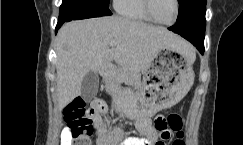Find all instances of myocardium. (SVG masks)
<instances>
[{
	"mask_svg": "<svg viewBox=\"0 0 243 145\" xmlns=\"http://www.w3.org/2000/svg\"><path fill=\"white\" fill-rule=\"evenodd\" d=\"M144 2V9H145V12L147 14V16L149 17V19L156 23V24H159V25H162V26H173L176 22H177V19L179 17V12H180V3H179V0H174V3H175V14H174V18L171 22L169 23H163V22H160L159 20H157L152 12V0H143Z\"/></svg>",
	"mask_w": 243,
	"mask_h": 145,
	"instance_id": "obj_1",
	"label": "myocardium"
}]
</instances>
